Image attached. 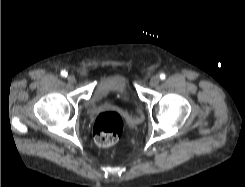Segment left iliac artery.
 Masks as SVG:
<instances>
[{"instance_id": "left-iliac-artery-1", "label": "left iliac artery", "mask_w": 245, "mask_h": 187, "mask_svg": "<svg viewBox=\"0 0 245 187\" xmlns=\"http://www.w3.org/2000/svg\"><path fill=\"white\" fill-rule=\"evenodd\" d=\"M160 78H161L162 80H164V79L166 78V75H165L164 73H161V74H160Z\"/></svg>"}]
</instances>
